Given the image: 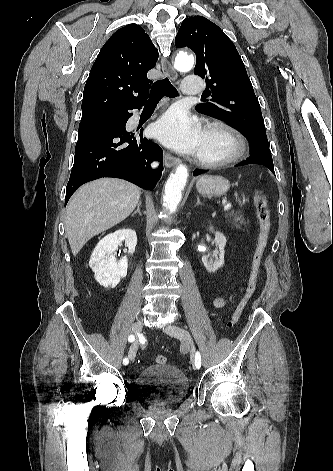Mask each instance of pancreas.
Instances as JSON below:
<instances>
[{"label":"pancreas","instance_id":"pancreas-1","mask_svg":"<svg viewBox=\"0 0 333 471\" xmlns=\"http://www.w3.org/2000/svg\"><path fill=\"white\" fill-rule=\"evenodd\" d=\"M227 216L233 219V222L236 226H239V224L244 223V218L240 213H234L232 211Z\"/></svg>","mask_w":333,"mask_h":471}]
</instances>
